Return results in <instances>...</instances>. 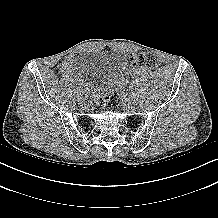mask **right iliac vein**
Here are the masks:
<instances>
[{"label":"right iliac vein","mask_w":218,"mask_h":218,"mask_svg":"<svg viewBox=\"0 0 218 218\" xmlns=\"http://www.w3.org/2000/svg\"><path fill=\"white\" fill-rule=\"evenodd\" d=\"M87 94L85 93L84 95H82V99H81V102H82V107L83 108H86L87 104L85 103L86 100H87Z\"/></svg>","instance_id":"right-iliac-vein-1"}]
</instances>
